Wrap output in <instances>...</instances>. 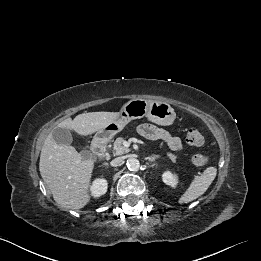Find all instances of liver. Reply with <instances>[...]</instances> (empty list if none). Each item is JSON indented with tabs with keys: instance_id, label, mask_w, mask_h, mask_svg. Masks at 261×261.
Masks as SVG:
<instances>
[{
	"instance_id": "obj_1",
	"label": "liver",
	"mask_w": 261,
	"mask_h": 261,
	"mask_svg": "<svg viewBox=\"0 0 261 261\" xmlns=\"http://www.w3.org/2000/svg\"><path fill=\"white\" fill-rule=\"evenodd\" d=\"M120 116L118 112H90L67 118L57 127L75 131L81 136L103 132ZM93 159H83L71 145H59L50 132L41 149L39 170L54 200L68 209L83 208L89 201Z\"/></svg>"
}]
</instances>
